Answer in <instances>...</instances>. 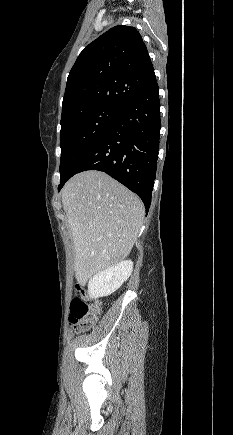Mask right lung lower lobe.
Returning <instances> with one entry per match:
<instances>
[{
    "label": "right lung lower lobe",
    "mask_w": 233,
    "mask_h": 435,
    "mask_svg": "<svg viewBox=\"0 0 233 435\" xmlns=\"http://www.w3.org/2000/svg\"><path fill=\"white\" fill-rule=\"evenodd\" d=\"M160 127L159 87L155 78L121 108L101 136L61 179L58 191L73 175L99 170L135 192L148 212L156 177Z\"/></svg>",
    "instance_id": "right-lung-lower-lobe-1"
}]
</instances>
